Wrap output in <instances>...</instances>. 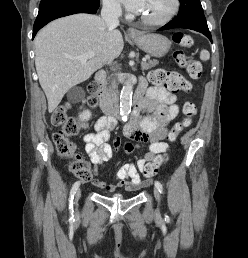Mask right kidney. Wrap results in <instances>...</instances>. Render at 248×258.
<instances>
[{
  "instance_id": "1",
  "label": "right kidney",
  "mask_w": 248,
  "mask_h": 258,
  "mask_svg": "<svg viewBox=\"0 0 248 258\" xmlns=\"http://www.w3.org/2000/svg\"><path fill=\"white\" fill-rule=\"evenodd\" d=\"M69 99L72 101H80L84 98V92L82 89H73L69 95H68ZM91 116V113L88 110L83 111L79 118L81 121H86L89 120Z\"/></svg>"
}]
</instances>
